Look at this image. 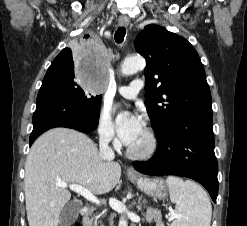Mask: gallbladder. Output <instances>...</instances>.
Returning <instances> with one entry per match:
<instances>
[{"label": "gallbladder", "mask_w": 247, "mask_h": 226, "mask_svg": "<svg viewBox=\"0 0 247 226\" xmlns=\"http://www.w3.org/2000/svg\"><path fill=\"white\" fill-rule=\"evenodd\" d=\"M81 206L76 200L68 202L61 210L59 226H71L77 220Z\"/></svg>", "instance_id": "obj_1"}]
</instances>
